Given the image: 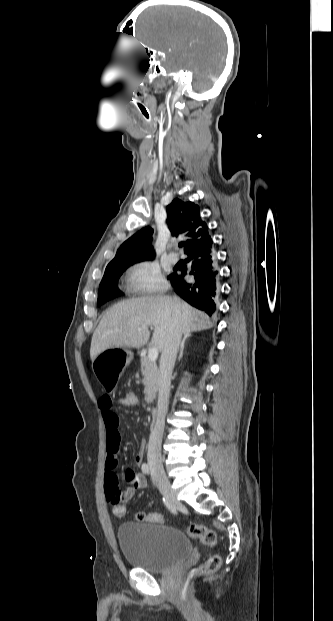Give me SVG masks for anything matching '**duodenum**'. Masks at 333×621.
Listing matches in <instances>:
<instances>
[{
    "label": "duodenum",
    "instance_id": "410a0bca",
    "mask_svg": "<svg viewBox=\"0 0 333 621\" xmlns=\"http://www.w3.org/2000/svg\"><path fill=\"white\" fill-rule=\"evenodd\" d=\"M156 420H157V414H156V412H153L151 414V424H150L151 428H153L155 426Z\"/></svg>",
    "mask_w": 333,
    "mask_h": 621
}]
</instances>
